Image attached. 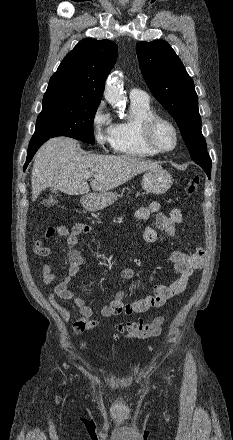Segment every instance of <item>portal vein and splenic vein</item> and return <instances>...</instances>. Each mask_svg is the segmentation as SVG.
Instances as JSON below:
<instances>
[{
    "label": "portal vein and splenic vein",
    "mask_w": 233,
    "mask_h": 440,
    "mask_svg": "<svg viewBox=\"0 0 233 440\" xmlns=\"http://www.w3.org/2000/svg\"><path fill=\"white\" fill-rule=\"evenodd\" d=\"M92 175L90 174V173H86L85 175H84V177L85 178H90Z\"/></svg>",
    "instance_id": "obj_1"
}]
</instances>
